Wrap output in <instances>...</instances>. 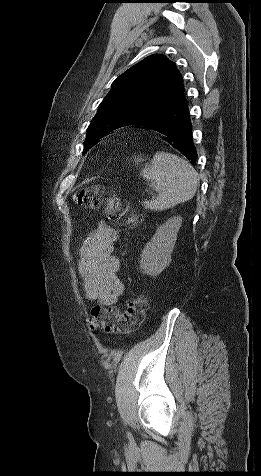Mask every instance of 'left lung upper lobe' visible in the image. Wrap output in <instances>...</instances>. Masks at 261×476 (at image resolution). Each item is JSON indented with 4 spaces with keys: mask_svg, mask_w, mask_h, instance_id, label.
I'll return each mask as SVG.
<instances>
[{
    "mask_svg": "<svg viewBox=\"0 0 261 476\" xmlns=\"http://www.w3.org/2000/svg\"><path fill=\"white\" fill-rule=\"evenodd\" d=\"M184 97L175 63L160 54L146 57L113 82L87 129L84 151L107 132L160 115Z\"/></svg>",
    "mask_w": 261,
    "mask_h": 476,
    "instance_id": "obj_1",
    "label": "left lung upper lobe"
}]
</instances>
